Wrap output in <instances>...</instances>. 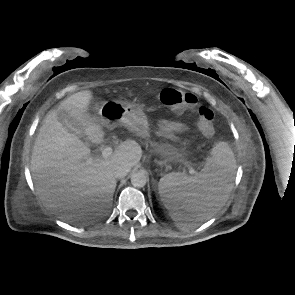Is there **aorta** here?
<instances>
[{
    "label": "aorta",
    "instance_id": "762f6f07",
    "mask_svg": "<svg viewBox=\"0 0 295 295\" xmlns=\"http://www.w3.org/2000/svg\"><path fill=\"white\" fill-rule=\"evenodd\" d=\"M147 183V174L142 171H138L132 174L131 176V184L134 187H144Z\"/></svg>",
    "mask_w": 295,
    "mask_h": 295
}]
</instances>
